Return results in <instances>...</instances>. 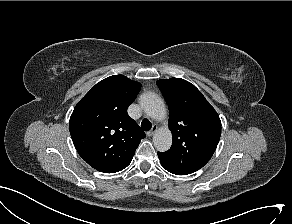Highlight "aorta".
I'll return each mask as SVG.
<instances>
[{
    "instance_id": "1",
    "label": "aorta",
    "mask_w": 292,
    "mask_h": 224,
    "mask_svg": "<svg viewBox=\"0 0 292 224\" xmlns=\"http://www.w3.org/2000/svg\"><path fill=\"white\" fill-rule=\"evenodd\" d=\"M140 105L143 111L155 120H161L166 116V108L163 100L153 92L143 93L140 97ZM154 147L159 152H165L172 145V134L168 128H160L153 136Z\"/></svg>"
}]
</instances>
